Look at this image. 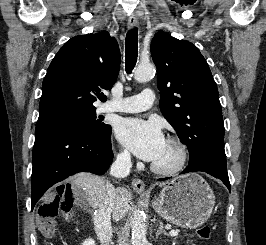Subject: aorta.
I'll use <instances>...</instances> for the list:
<instances>
[{
    "label": "aorta",
    "instance_id": "aorta-1",
    "mask_svg": "<svg viewBox=\"0 0 266 245\" xmlns=\"http://www.w3.org/2000/svg\"><path fill=\"white\" fill-rule=\"evenodd\" d=\"M154 74V64H138L134 72V78L137 82H147V80H150ZM131 233L132 245H147V225L144 211H139V209H135V211H133Z\"/></svg>",
    "mask_w": 266,
    "mask_h": 245
}]
</instances>
